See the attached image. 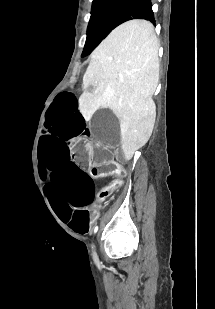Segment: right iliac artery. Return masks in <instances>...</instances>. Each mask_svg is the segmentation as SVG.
<instances>
[{
    "label": "right iliac artery",
    "mask_w": 215,
    "mask_h": 309,
    "mask_svg": "<svg viewBox=\"0 0 215 309\" xmlns=\"http://www.w3.org/2000/svg\"><path fill=\"white\" fill-rule=\"evenodd\" d=\"M97 230H98V226H95V227H94V230H93V231H94V233H96V232H97Z\"/></svg>",
    "instance_id": "right-iliac-artery-1"
}]
</instances>
